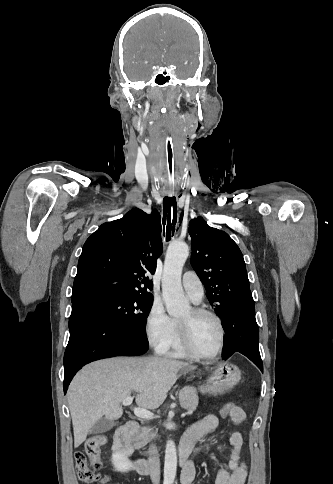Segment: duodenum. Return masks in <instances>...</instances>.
<instances>
[{
  "mask_svg": "<svg viewBox=\"0 0 333 484\" xmlns=\"http://www.w3.org/2000/svg\"><path fill=\"white\" fill-rule=\"evenodd\" d=\"M138 428L137 422L127 421L117 429L114 435V451L118 456L129 458L138 447V443L135 440ZM192 453L193 444L182 440L178 450V459L183 469L189 464ZM131 469L142 475H148L153 471L152 466L145 459L132 461Z\"/></svg>",
  "mask_w": 333,
  "mask_h": 484,
  "instance_id": "410a0bca",
  "label": "duodenum"
}]
</instances>
